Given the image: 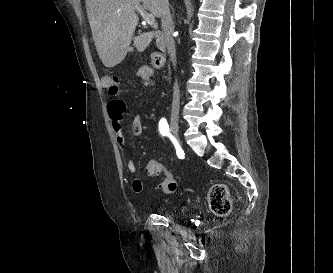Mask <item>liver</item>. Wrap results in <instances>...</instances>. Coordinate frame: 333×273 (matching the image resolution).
I'll return each instance as SVG.
<instances>
[{"label": "liver", "mask_w": 333, "mask_h": 273, "mask_svg": "<svg viewBox=\"0 0 333 273\" xmlns=\"http://www.w3.org/2000/svg\"><path fill=\"white\" fill-rule=\"evenodd\" d=\"M136 6L161 17L159 0H86L93 40L105 67L125 58L139 21Z\"/></svg>", "instance_id": "obj_1"}]
</instances>
